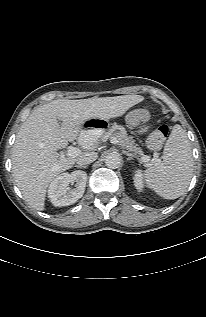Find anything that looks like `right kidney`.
<instances>
[{"label":"right kidney","instance_id":"ca27d5eb","mask_svg":"<svg viewBox=\"0 0 206 317\" xmlns=\"http://www.w3.org/2000/svg\"><path fill=\"white\" fill-rule=\"evenodd\" d=\"M87 174L77 170L69 173H62L57 176L50 184L48 197L54 206H68L80 199L85 191ZM70 183H76L75 188L70 190Z\"/></svg>","mask_w":206,"mask_h":317}]
</instances>
